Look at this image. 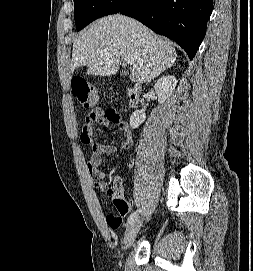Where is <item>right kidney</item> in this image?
Listing matches in <instances>:
<instances>
[{"label":"right kidney","instance_id":"obj_1","mask_svg":"<svg viewBox=\"0 0 253 271\" xmlns=\"http://www.w3.org/2000/svg\"><path fill=\"white\" fill-rule=\"evenodd\" d=\"M177 79L175 76L167 75L160 78L154 85V90L157 94L160 104L164 103L168 97H170L177 85ZM146 119V115L143 110H135L130 116V126L133 129L138 128Z\"/></svg>","mask_w":253,"mask_h":271}]
</instances>
